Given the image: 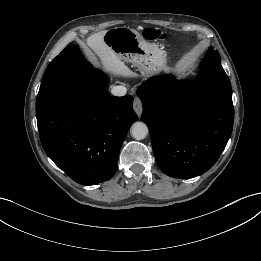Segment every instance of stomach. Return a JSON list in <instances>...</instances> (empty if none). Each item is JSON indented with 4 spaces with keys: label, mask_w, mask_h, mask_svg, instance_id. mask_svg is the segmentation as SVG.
<instances>
[{
    "label": "stomach",
    "mask_w": 261,
    "mask_h": 261,
    "mask_svg": "<svg viewBox=\"0 0 261 261\" xmlns=\"http://www.w3.org/2000/svg\"><path fill=\"white\" fill-rule=\"evenodd\" d=\"M104 42L123 62L131 63L146 74L167 68L166 55L154 43L130 27H115L106 31Z\"/></svg>",
    "instance_id": "obj_1"
}]
</instances>
